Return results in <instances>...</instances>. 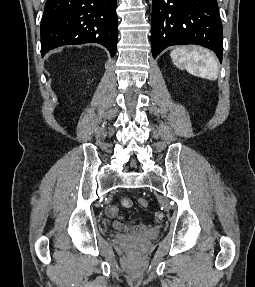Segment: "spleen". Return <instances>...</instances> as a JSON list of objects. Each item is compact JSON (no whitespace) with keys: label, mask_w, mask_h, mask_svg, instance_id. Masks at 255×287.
<instances>
[{"label":"spleen","mask_w":255,"mask_h":287,"mask_svg":"<svg viewBox=\"0 0 255 287\" xmlns=\"http://www.w3.org/2000/svg\"><path fill=\"white\" fill-rule=\"evenodd\" d=\"M171 60L179 68H187L189 72H195L198 78L206 80H217L218 64L213 54L200 46H191V48H181L178 46L170 54Z\"/></svg>","instance_id":"spleen-1"}]
</instances>
